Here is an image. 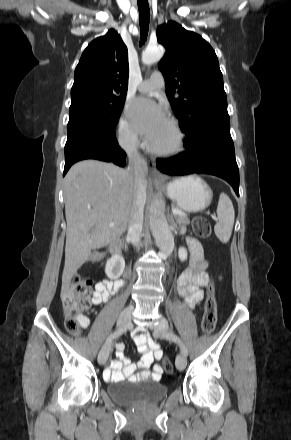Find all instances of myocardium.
I'll list each match as a JSON object with an SVG mask.
<instances>
[{"label": "myocardium", "mask_w": 291, "mask_h": 440, "mask_svg": "<svg viewBox=\"0 0 291 440\" xmlns=\"http://www.w3.org/2000/svg\"><path fill=\"white\" fill-rule=\"evenodd\" d=\"M169 124H170L171 130L174 135V142L170 147L160 148V147L154 146L150 142L147 143L148 150L156 156L173 157V156L180 154L184 149V146H185L184 132L182 131L181 127L179 126V124L175 120L170 119Z\"/></svg>", "instance_id": "myocardium-1"}]
</instances>
